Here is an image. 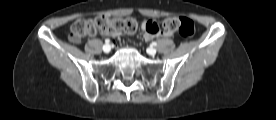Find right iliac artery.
<instances>
[{
  "mask_svg": "<svg viewBox=\"0 0 276 120\" xmlns=\"http://www.w3.org/2000/svg\"><path fill=\"white\" fill-rule=\"evenodd\" d=\"M105 43H106V44H109V43H110V40H109V39H106V40H105Z\"/></svg>",
  "mask_w": 276,
  "mask_h": 120,
  "instance_id": "obj_1",
  "label": "right iliac artery"
}]
</instances>
